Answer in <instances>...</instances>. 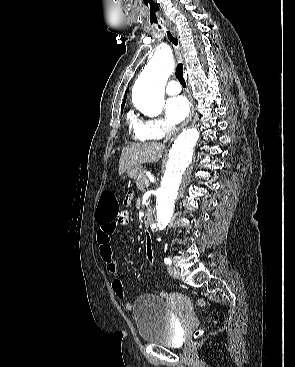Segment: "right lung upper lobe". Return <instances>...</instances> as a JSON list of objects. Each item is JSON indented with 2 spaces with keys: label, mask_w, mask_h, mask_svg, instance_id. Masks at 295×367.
Segmentation results:
<instances>
[{
  "label": "right lung upper lobe",
  "mask_w": 295,
  "mask_h": 367,
  "mask_svg": "<svg viewBox=\"0 0 295 367\" xmlns=\"http://www.w3.org/2000/svg\"><path fill=\"white\" fill-rule=\"evenodd\" d=\"M127 92H128V89L126 90V92H125V96H124V100H123V103H122V105L123 104H125V101H126V97H127Z\"/></svg>",
  "instance_id": "cb5924a9"
}]
</instances>
